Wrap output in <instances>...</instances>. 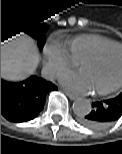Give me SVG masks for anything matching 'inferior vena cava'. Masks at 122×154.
<instances>
[{
    "label": "inferior vena cava",
    "mask_w": 122,
    "mask_h": 154,
    "mask_svg": "<svg viewBox=\"0 0 122 154\" xmlns=\"http://www.w3.org/2000/svg\"><path fill=\"white\" fill-rule=\"evenodd\" d=\"M55 76V72L51 70L50 68L44 67L42 69V77L47 80H52Z\"/></svg>",
    "instance_id": "inferior-vena-cava-1"
}]
</instances>
